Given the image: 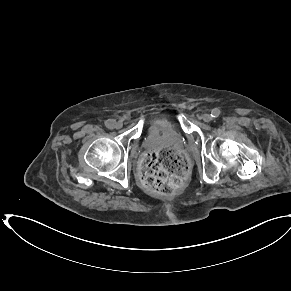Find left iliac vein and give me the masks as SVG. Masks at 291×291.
I'll use <instances>...</instances> for the list:
<instances>
[{
    "label": "left iliac vein",
    "mask_w": 291,
    "mask_h": 291,
    "mask_svg": "<svg viewBox=\"0 0 291 291\" xmlns=\"http://www.w3.org/2000/svg\"><path fill=\"white\" fill-rule=\"evenodd\" d=\"M203 120H204V122L208 123V122H210L212 120V117L209 114H204L203 115Z\"/></svg>",
    "instance_id": "obj_1"
}]
</instances>
